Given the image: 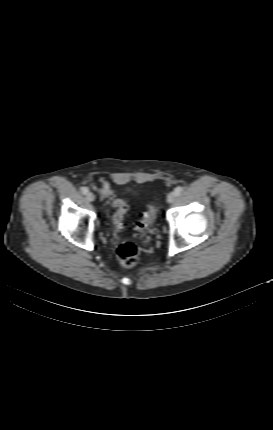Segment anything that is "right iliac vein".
<instances>
[{"instance_id":"1","label":"right iliac vein","mask_w":273,"mask_h":430,"mask_svg":"<svg viewBox=\"0 0 273 430\" xmlns=\"http://www.w3.org/2000/svg\"><path fill=\"white\" fill-rule=\"evenodd\" d=\"M86 199H87V201L92 202L95 200V195L92 192H88L86 194Z\"/></svg>"}]
</instances>
